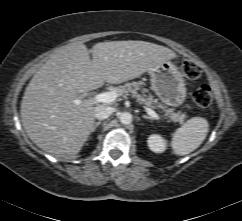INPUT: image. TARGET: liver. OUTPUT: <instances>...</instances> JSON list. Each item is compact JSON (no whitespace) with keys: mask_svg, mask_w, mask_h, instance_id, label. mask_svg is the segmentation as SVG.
<instances>
[{"mask_svg":"<svg viewBox=\"0 0 242 221\" xmlns=\"http://www.w3.org/2000/svg\"><path fill=\"white\" fill-rule=\"evenodd\" d=\"M92 60L86 45L61 47L25 89L21 118L31 141L56 158L74 159L95 125V107L79 94L104 82L120 84L176 57L171 49L145 41L96 43Z\"/></svg>","mask_w":242,"mask_h":221,"instance_id":"6515ba94","label":"liver"}]
</instances>
